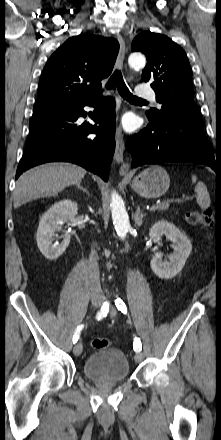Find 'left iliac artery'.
<instances>
[{
	"mask_svg": "<svg viewBox=\"0 0 221 440\" xmlns=\"http://www.w3.org/2000/svg\"><path fill=\"white\" fill-rule=\"evenodd\" d=\"M115 305L122 313H127V307L121 298L115 299ZM133 347L137 352L142 350V344L139 338L135 337Z\"/></svg>",
	"mask_w": 221,
	"mask_h": 440,
	"instance_id": "obj_1",
	"label": "left iliac artery"
}]
</instances>
